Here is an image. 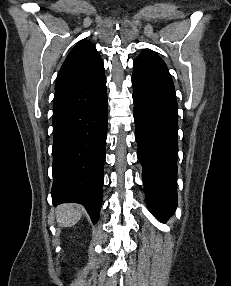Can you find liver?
Masks as SVG:
<instances>
[{
  "instance_id": "liver-1",
  "label": "liver",
  "mask_w": 231,
  "mask_h": 286,
  "mask_svg": "<svg viewBox=\"0 0 231 286\" xmlns=\"http://www.w3.org/2000/svg\"><path fill=\"white\" fill-rule=\"evenodd\" d=\"M82 217V208L77 204H63L56 209V220L62 227L75 225Z\"/></svg>"
}]
</instances>
